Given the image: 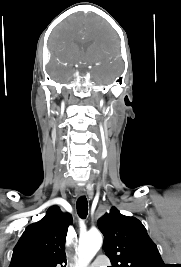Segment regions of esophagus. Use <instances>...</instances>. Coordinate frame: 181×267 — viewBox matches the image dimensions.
I'll use <instances>...</instances> for the list:
<instances>
[{"label": "esophagus", "mask_w": 181, "mask_h": 267, "mask_svg": "<svg viewBox=\"0 0 181 267\" xmlns=\"http://www.w3.org/2000/svg\"><path fill=\"white\" fill-rule=\"evenodd\" d=\"M76 195L77 196H84L85 195V189L79 188L76 190Z\"/></svg>", "instance_id": "1"}]
</instances>
